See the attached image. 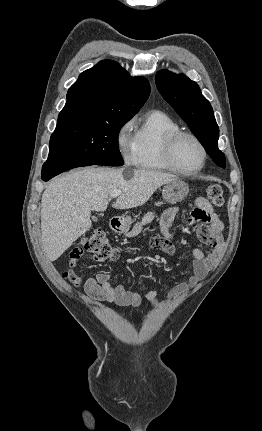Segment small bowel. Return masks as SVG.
I'll use <instances>...</instances> for the list:
<instances>
[{"label": "small bowel", "mask_w": 262, "mask_h": 431, "mask_svg": "<svg viewBox=\"0 0 262 431\" xmlns=\"http://www.w3.org/2000/svg\"><path fill=\"white\" fill-rule=\"evenodd\" d=\"M193 204L196 208L195 218L200 222L199 238L211 248V251L207 253L200 248L193 249L192 274L185 281L175 285L170 291L169 297L171 300L182 297L203 280L216 266L225 248L222 235L224 225L213 210L212 204L204 197H196ZM177 212L178 208L174 207L167 209L163 213L160 219V227L162 237L165 238L166 243L154 247L168 255H173L175 252V248L171 243L170 227ZM73 285H83L86 293L96 300L113 303L120 307H138L141 305V297L137 292L128 290L123 285H114L106 273H101L96 278L76 280ZM146 297L152 304H158L159 294L157 291H147Z\"/></svg>", "instance_id": "1"}]
</instances>
